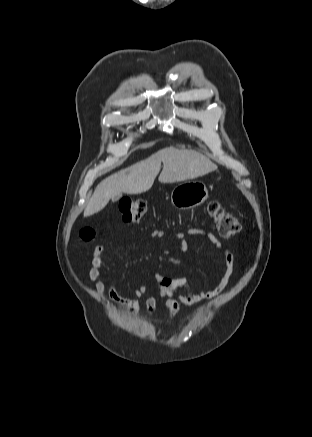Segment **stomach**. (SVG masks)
Returning a JSON list of instances; mask_svg holds the SVG:
<instances>
[{"mask_svg": "<svg viewBox=\"0 0 312 437\" xmlns=\"http://www.w3.org/2000/svg\"><path fill=\"white\" fill-rule=\"evenodd\" d=\"M207 198L208 190L201 181H185L171 192V203L178 210H189L200 206Z\"/></svg>", "mask_w": 312, "mask_h": 437, "instance_id": "obj_1", "label": "stomach"}]
</instances>
